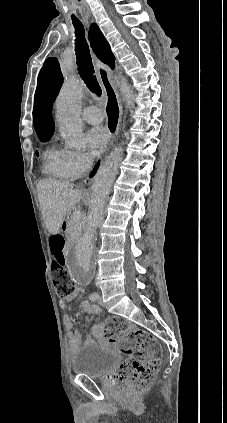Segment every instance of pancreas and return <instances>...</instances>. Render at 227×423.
I'll return each instance as SVG.
<instances>
[{"mask_svg": "<svg viewBox=\"0 0 227 423\" xmlns=\"http://www.w3.org/2000/svg\"><path fill=\"white\" fill-rule=\"evenodd\" d=\"M81 227L80 221H74L72 217H69L67 225L68 239H78L80 237Z\"/></svg>", "mask_w": 227, "mask_h": 423, "instance_id": "cf45deb5", "label": "pancreas"}]
</instances>
